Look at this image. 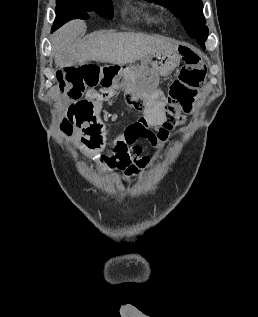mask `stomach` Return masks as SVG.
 Masks as SVG:
<instances>
[{
  "instance_id": "1",
  "label": "stomach",
  "mask_w": 258,
  "mask_h": 317,
  "mask_svg": "<svg viewBox=\"0 0 258 317\" xmlns=\"http://www.w3.org/2000/svg\"><path fill=\"white\" fill-rule=\"evenodd\" d=\"M181 58L180 46L177 44L171 50H155V52H151L148 56H144V58H141L140 66H136V64H132L131 62V64L123 66V68L134 70L137 74H152V72H157V74H162V76H168L176 66H179Z\"/></svg>"
}]
</instances>
